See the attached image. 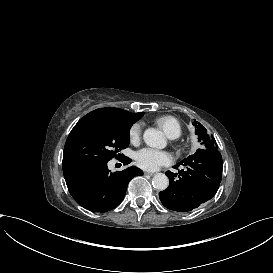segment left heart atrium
I'll return each mask as SVG.
<instances>
[{
    "instance_id": "39dd6f15",
    "label": "left heart atrium",
    "mask_w": 273,
    "mask_h": 273,
    "mask_svg": "<svg viewBox=\"0 0 273 273\" xmlns=\"http://www.w3.org/2000/svg\"><path fill=\"white\" fill-rule=\"evenodd\" d=\"M170 154L165 151L145 147L137 153V163L140 167L155 170L159 166L169 163Z\"/></svg>"
}]
</instances>
